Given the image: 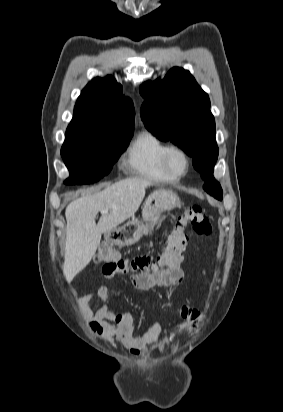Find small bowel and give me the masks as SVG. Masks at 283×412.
<instances>
[{"mask_svg": "<svg viewBox=\"0 0 283 412\" xmlns=\"http://www.w3.org/2000/svg\"><path fill=\"white\" fill-rule=\"evenodd\" d=\"M181 261V255L178 254L166 270L155 272L152 275L134 271H125L120 274H128L132 287L140 291H146L156 286L180 285L185 277ZM113 276L115 275H107L106 278L110 279ZM96 295L100 301V306L96 311H92L89 307V303L94 297L93 292H87L80 297L79 307L84 317L98 326L106 339L115 338L134 354H139L145 346L159 340L161 325L158 321L153 322L147 329L138 334L136 322L131 313L114 312L110 309V295L105 284L97 288ZM181 315L191 322L189 331L194 334L202 318L201 312L191 305H185L181 309Z\"/></svg>", "mask_w": 283, "mask_h": 412, "instance_id": "obj_1", "label": "small bowel"}]
</instances>
